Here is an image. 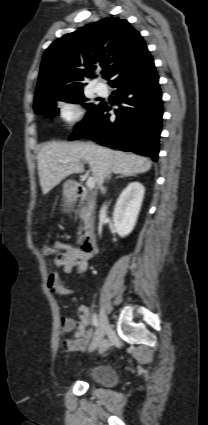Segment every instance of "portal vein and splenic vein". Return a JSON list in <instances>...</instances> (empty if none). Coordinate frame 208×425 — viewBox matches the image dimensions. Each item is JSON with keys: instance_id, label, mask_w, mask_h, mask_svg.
<instances>
[{"instance_id": "portal-vein-and-splenic-vein-1", "label": "portal vein and splenic vein", "mask_w": 208, "mask_h": 425, "mask_svg": "<svg viewBox=\"0 0 208 425\" xmlns=\"http://www.w3.org/2000/svg\"><path fill=\"white\" fill-rule=\"evenodd\" d=\"M60 163L65 164L68 162H79V160H75V159H61L59 160ZM95 179L94 177L90 176L88 177L87 181H86V186L88 189L92 190L95 187Z\"/></svg>"}]
</instances>
